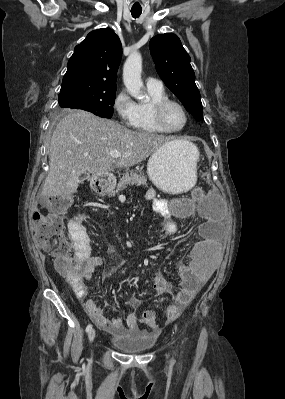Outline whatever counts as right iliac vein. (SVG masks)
<instances>
[{
  "label": "right iliac vein",
  "mask_w": 285,
  "mask_h": 399,
  "mask_svg": "<svg viewBox=\"0 0 285 399\" xmlns=\"http://www.w3.org/2000/svg\"><path fill=\"white\" fill-rule=\"evenodd\" d=\"M95 336H96V331H95V329L92 327V328L89 330V333H88V339H89V342H90L91 344L94 342Z\"/></svg>",
  "instance_id": "obj_1"
}]
</instances>
